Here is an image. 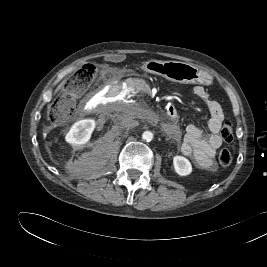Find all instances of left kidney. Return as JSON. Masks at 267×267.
<instances>
[{
    "label": "left kidney",
    "instance_id": "left-kidney-1",
    "mask_svg": "<svg viewBox=\"0 0 267 267\" xmlns=\"http://www.w3.org/2000/svg\"><path fill=\"white\" fill-rule=\"evenodd\" d=\"M173 166L175 172L180 176H187L192 172V165L184 156H174Z\"/></svg>",
    "mask_w": 267,
    "mask_h": 267
}]
</instances>
